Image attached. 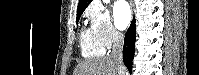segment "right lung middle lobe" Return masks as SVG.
Returning a JSON list of instances; mask_svg holds the SVG:
<instances>
[{
  "mask_svg": "<svg viewBox=\"0 0 199 75\" xmlns=\"http://www.w3.org/2000/svg\"><path fill=\"white\" fill-rule=\"evenodd\" d=\"M79 19H80V15H77V22L79 21Z\"/></svg>",
  "mask_w": 199,
  "mask_h": 75,
  "instance_id": "obj_1",
  "label": "right lung middle lobe"
}]
</instances>
